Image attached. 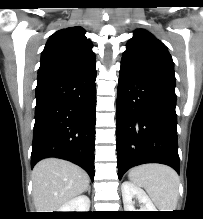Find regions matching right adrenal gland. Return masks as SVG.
<instances>
[{
    "instance_id": "right-adrenal-gland-1",
    "label": "right adrenal gland",
    "mask_w": 203,
    "mask_h": 219,
    "mask_svg": "<svg viewBox=\"0 0 203 219\" xmlns=\"http://www.w3.org/2000/svg\"><path fill=\"white\" fill-rule=\"evenodd\" d=\"M90 190H91V187L89 186V187L87 188L88 194H90Z\"/></svg>"
}]
</instances>
